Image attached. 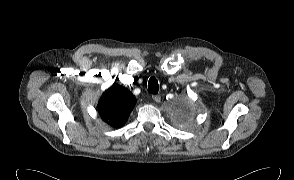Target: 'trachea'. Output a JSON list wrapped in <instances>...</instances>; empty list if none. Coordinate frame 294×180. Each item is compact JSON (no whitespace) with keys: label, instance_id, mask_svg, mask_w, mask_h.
Returning a JSON list of instances; mask_svg holds the SVG:
<instances>
[{"label":"trachea","instance_id":"trachea-1","mask_svg":"<svg viewBox=\"0 0 294 180\" xmlns=\"http://www.w3.org/2000/svg\"><path fill=\"white\" fill-rule=\"evenodd\" d=\"M158 89H159V86H158L157 79L155 77H151L148 82V92L152 94H157Z\"/></svg>","mask_w":294,"mask_h":180}]
</instances>
